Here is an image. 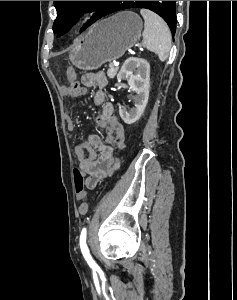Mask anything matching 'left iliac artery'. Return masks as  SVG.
<instances>
[{"label": "left iliac artery", "instance_id": "left-iliac-artery-1", "mask_svg": "<svg viewBox=\"0 0 237 300\" xmlns=\"http://www.w3.org/2000/svg\"><path fill=\"white\" fill-rule=\"evenodd\" d=\"M80 248H81V252H82L85 260L87 261L88 265L90 267H96L97 264L92 259L91 255L89 253V249H88L87 244H86V228L82 229V232H81V235H80Z\"/></svg>", "mask_w": 237, "mask_h": 300}]
</instances>
